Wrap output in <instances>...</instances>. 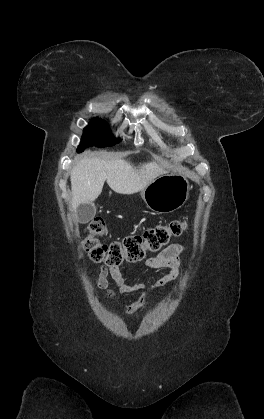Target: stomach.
<instances>
[{"label": "stomach", "mask_w": 264, "mask_h": 419, "mask_svg": "<svg viewBox=\"0 0 264 419\" xmlns=\"http://www.w3.org/2000/svg\"><path fill=\"white\" fill-rule=\"evenodd\" d=\"M190 184L180 173L157 177L141 190V197L154 212L166 214L181 208L188 199Z\"/></svg>", "instance_id": "stomach-1"}]
</instances>
